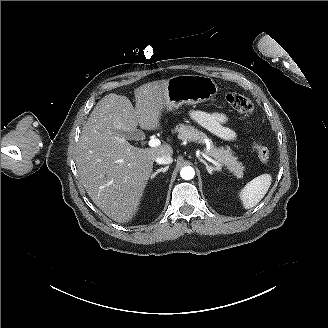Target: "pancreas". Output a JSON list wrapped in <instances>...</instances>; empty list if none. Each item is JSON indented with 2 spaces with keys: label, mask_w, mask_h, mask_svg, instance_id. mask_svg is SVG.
Returning <instances> with one entry per match:
<instances>
[{
  "label": "pancreas",
  "mask_w": 328,
  "mask_h": 328,
  "mask_svg": "<svg viewBox=\"0 0 328 328\" xmlns=\"http://www.w3.org/2000/svg\"><path fill=\"white\" fill-rule=\"evenodd\" d=\"M172 133H178V139L188 142L205 143L207 135L196 129L194 126L179 124L172 130ZM205 153L213 157L221 165H225L227 169L237 178H242L245 167L234 156L230 146L216 147L210 140V149H206Z\"/></svg>",
  "instance_id": "pancreas-1"
}]
</instances>
